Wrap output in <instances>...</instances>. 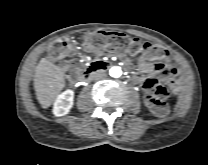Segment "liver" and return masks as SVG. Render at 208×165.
<instances>
[{
    "instance_id": "1",
    "label": "liver",
    "mask_w": 208,
    "mask_h": 165,
    "mask_svg": "<svg viewBox=\"0 0 208 165\" xmlns=\"http://www.w3.org/2000/svg\"><path fill=\"white\" fill-rule=\"evenodd\" d=\"M65 87L62 70L47 58H42L35 68L34 88L38 102L48 108Z\"/></svg>"
}]
</instances>
